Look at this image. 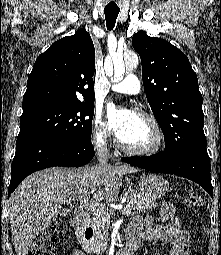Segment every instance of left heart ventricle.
Segmentation results:
<instances>
[{
    "label": "left heart ventricle",
    "instance_id": "obj_1",
    "mask_svg": "<svg viewBox=\"0 0 221 255\" xmlns=\"http://www.w3.org/2000/svg\"><path fill=\"white\" fill-rule=\"evenodd\" d=\"M117 136L124 145L137 149L148 148L155 140L151 124L133 113L126 127Z\"/></svg>",
    "mask_w": 221,
    "mask_h": 255
}]
</instances>
